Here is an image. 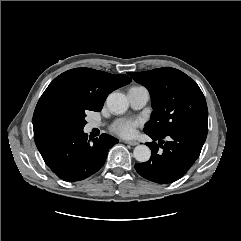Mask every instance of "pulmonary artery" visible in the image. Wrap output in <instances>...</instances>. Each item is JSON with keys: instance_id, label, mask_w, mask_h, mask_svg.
Masks as SVG:
<instances>
[{"instance_id": "pulmonary-artery-1", "label": "pulmonary artery", "mask_w": 241, "mask_h": 241, "mask_svg": "<svg viewBox=\"0 0 241 241\" xmlns=\"http://www.w3.org/2000/svg\"><path fill=\"white\" fill-rule=\"evenodd\" d=\"M127 97L132 108L140 109L144 107L146 103L149 101L150 94L146 88L141 86H136L128 90ZM97 126L98 124L94 122L89 124L90 128H94Z\"/></svg>"}]
</instances>
